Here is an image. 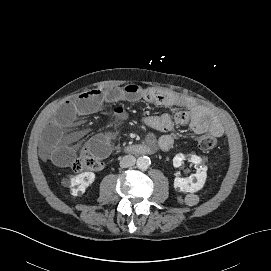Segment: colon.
Masks as SVG:
<instances>
[{"label": "colon", "instance_id": "colon-1", "mask_svg": "<svg viewBox=\"0 0 271 271\" xmlns=\"http://www.w3.org/2000/svg\"><path fill=\"white\" fill-rule=\"evenodd\" d=\"M198 146L203 151L213 150L218 145L217 138L212 134H204L197 139ZM103 166L102 161L89 150H83L73 161L71 168L74 172L97 171Z\"/></svg>", "mask_w": 271, "mask_h": 271}]
</instances>
